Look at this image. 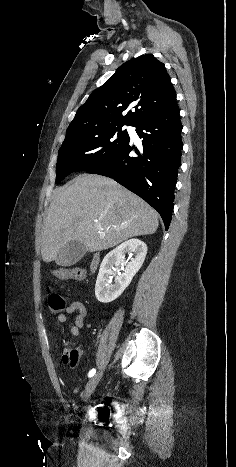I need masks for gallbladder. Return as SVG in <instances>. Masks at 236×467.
Here are the masks:
<instances>
[{
	"mask_svg": "<svg viewBox=\"0 0 236 467\" xmlns=\"http://www.w3.org/2000/svg\"><path fill=\"white\" fill-rule=\"evenodd\" d=\"M86 247L78 241H70L63 246L55 259L59 266L68 267L76 264L86 254Z\"/></svg>",
	"mask_w": 236,
	"mask_h": 467,
	"instance_id": "gallbladder-1",
	"label": "gallbladder"
}]
</instances>
